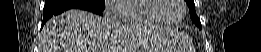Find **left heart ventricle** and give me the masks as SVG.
Returning a JSON list of instances; mask_svg holds the SVG:
<instances>
[{
    "label": "left heart ventricle",
    "mask_w": 261,
    "mask_h": 52,
    "mask_svg": "<svg viewBox=\"0 0 261 52\" xmlns=\"http://www.w3.org/2000/svg\"><path fill=\"white\" fill-rule=\"evenodd\" d=\"M169 8L164 12V18L170 21H176L182 16V8L177 3L178 0H167Z\"/></svg>",
    "instance_id": "left-heart-ventricle-1"
}]
</instances>
